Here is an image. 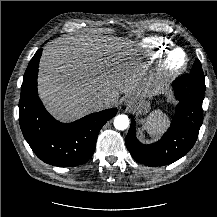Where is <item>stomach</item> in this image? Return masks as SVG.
<instances>
[{"label": "stomach", "mask_w": 217, "mask_h": 217, "mask_svg": "<svg viewBox=\"0 0 217 217\" xmlns=\"http://www.w3.org/2000/svg\"><path fill=\"white\" fill-rule=\"evenodd\" d=\"M152 95L146 94L141 96H136L135 100V109L140 113L144 114L149 111L150 109V100Z\"/></svg>", "instance_id": "0dacf381"}]
</instances>
